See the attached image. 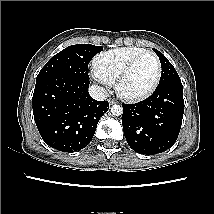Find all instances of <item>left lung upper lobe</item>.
Instances as JSON below:
<instances>
[{
  "label": "left lung upper lobe",
  "instance_id": "obj_1",
  "mask_svg": "<svg viewBox=\"0 0 214 214\" xmlns=\"http://www.w3.org/2000/svg\"><path fill=\"white\" fill-rule=\"evenodd\" d=\"M153 50L159 57L162 67V74L158 86L171 81L180 80L179 75L177 74L173 65L168 61V59L160 51L156 49Z\"/></svg>",
  "mask_w": 214,
  "mask_h": 214
}]
</instances>
